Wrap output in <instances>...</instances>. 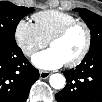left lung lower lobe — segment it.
<instances>
[{
	"mask_svg": "<svg viewBox=\"0 0 102 102\" xmlns=\"http://www.w3.org/2000/svg\"><path fill=\"white\" fill-rule=\"evenodd\" d=\"M63 73L67 84L56 94L58 102L102 101V48L88 52L76 69Z\"/></svg>",
	"mask_w": 102,
	"mask_h": 102,
	"instance_id": "left-lung-lower-lobe-1",
	"label": "left lung lower lobe"
}]
</instances>
